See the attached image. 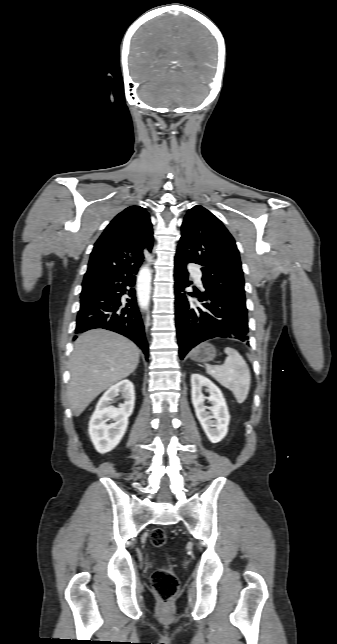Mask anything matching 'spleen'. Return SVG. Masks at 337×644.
I'll return each mask as SVG.
<instances>
[{
	"label": "spleen",
	"instance_id": "spleen-1",
	"mask_svg": "<svg viewBox=\"0 0 337 644\" xmlns=\"http://www.w3.org/2000/svg\"><path fill=\"white\" fill-rule=\"evenodd\" d=\"M227 358L222 365L206 364L207 373L229 389L238 403H243L249 393L251 375L243 357L233 348L226 347Z\"/></svg>",
	"mask_w": 337,
	"mask_h": 644
}]
</instances>
